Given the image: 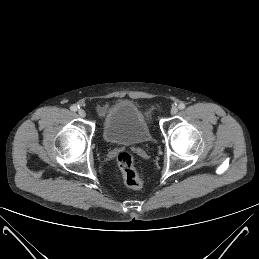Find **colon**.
<instances>
[{
  "mask_svg": "<svg viewBox=\"0 0 259 259\" xmlns=\"http://www.w3.org/2000/svg\"><path fill=\"white\" fill-rule=\"evenodd\" d=\"M153 109L154 107L150 108L148 114H150ZM117 164L123 175L124 182L127 186L133 189L142 188L143 180L136 170L135 159L131 153L127 151L119 153L117 156Z\"/></svg>",
  "mask_w": 259,
  "mask_h": 259,
  "instance_id": "obj_1",
  "label": "colon"
}]
</instances>
